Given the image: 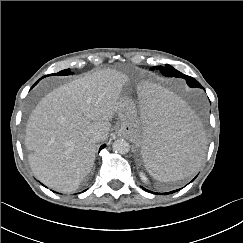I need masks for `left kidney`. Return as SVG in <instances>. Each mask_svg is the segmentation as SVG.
Instances as JSON below:
<instances>
[{"label":"left kidney","mask_w":243,"mask_h":243,"mask_svg":"<svg viewBox=\"0 0 243 243\" xmlns=\"http://www.w3.org/2000/svg\"><path fill=\"white\" fill-rule=\"evenodd\" d=\"M139 176H140L141 180H142L145 184H148V183H149L148 178L146 177L145 173L140 172V173H139Z\"/></svg>","instance_id":"left-kidney-1"}]
</instances>
